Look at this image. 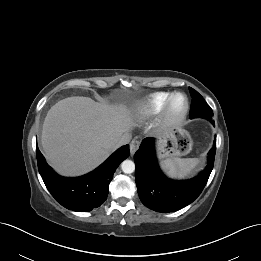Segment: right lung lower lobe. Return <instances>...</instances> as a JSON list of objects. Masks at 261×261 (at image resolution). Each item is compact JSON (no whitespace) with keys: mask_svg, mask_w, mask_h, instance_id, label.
Masks as SVG:
<instances>
[{"mask_svg":"<svg viewBox=\"0 0 261 261\" xmlns=\"http://www.w3.org/2000/svg\"><path fill=\"white\" fill-rule=\"evenodd\" d=\"M36 155L39 173L56 201L67 209L87 212L99 207L106 200L113 174L119 164L130 155V151L129 145L122 146L94 171L76 178L57 175L38 148Z\"/></svg>","mask_w":261,"mask_h":261,"instance_id":"obj_1","label":"right lung lower lobe"}]
</instances>
